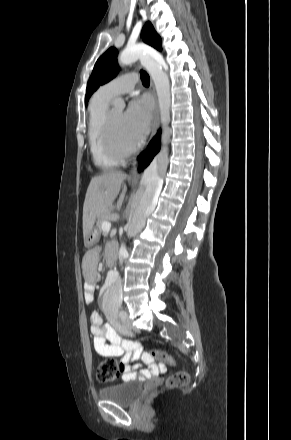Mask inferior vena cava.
Segmentation results:
<instances>
[{"label":"inferior vena cava","mask_w":291,"mask_h":440,"mask_svg":"<svg viewBox=\"0 0 291 440\" xmlns=\"http://www.w3.org/2000/svg\"><path fill=\"white\" fill-rule=\"evenodd\" d=\"M120 263L122 264V258H120Z\"/></svg>","instance_id":"1"}]
</instances>
